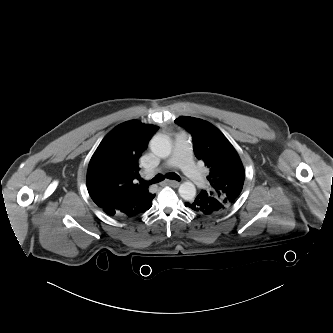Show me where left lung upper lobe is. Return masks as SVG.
Masks as SVG:
<instances>
[{
    "instance_id": "5c2ea615",
    "label": "left lung upper lobe",
    "mask_w": 333,
    "mask_h": 333,
    "mask_svg": "<svg viewBox=\"0 0 333 333\" xmlns=\"http://www.w3.org/2000/svg\"><path fill=\"white\" fill-rule=\"evenodd\" d=\"M175 123L192 135L196 157L209 167L208 195L223 205V212L237 201L244 184L245 172L238 153L227 138L212 124L194 117H179Z\"/></svg>"
}]
</instances>
